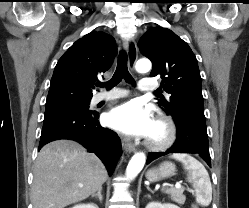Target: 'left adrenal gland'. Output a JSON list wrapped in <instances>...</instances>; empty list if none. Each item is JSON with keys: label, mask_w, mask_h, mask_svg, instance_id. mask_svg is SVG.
<instances>
[{"label": "left adrenal gland", "mask_w": 249, "mask_h": 208, "mask_svg": "<svg viewBox=\"0 0 249 208\" xmlns=\"http://www.w3.org/2000/svg\"><path fill=\"white\" fill-rule=\"evenodd\" d=\"M147 197H149V198H150V197H151V196H150V194H148V195H147Z\"/></svg>", "instance_id": "1"}]
</instances>
